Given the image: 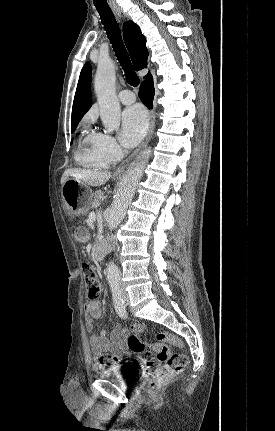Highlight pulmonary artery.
Wrapping results in <instances>:
<instances>
[{
    "instance_id": "pulmonary-artery-1",
    "label": "pulmonary artery",
    "mask_w": 275,
    "mask_h": 431,
    "mask_svg": "<svg viewBox=\"0 0 275 431\" xmlns=\"http://www.w3.org/2000/svg\"><path fill=\"white\" fill-rule=\"evenodd\" d=\"M119 101L124 105L132 104L135 101V95L130 90H123L118 94Z\"/></svg>"
}]
</instances>
